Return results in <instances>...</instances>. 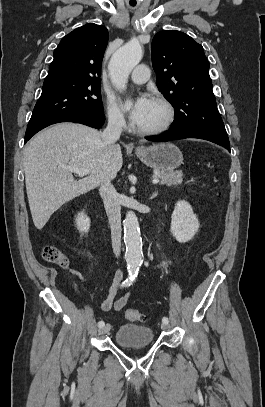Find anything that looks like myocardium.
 Instances as JSON below:
<instances>
[{
    "label": "myocardium",
    "instance_id": "obj_1",
    "mask_svg": "<svg viewBox=\"0 0 265 407\" xmlns=\"http://www.w3.org/2000/svg\"><path fill=\"white\" fill-rule=\"evenodd\" d=\"M153 100L159 103L165 110V118L163 122L158 125L157 127L150 128V129H141L136 127L135 131L142 136H153L159 135L167 131L175 121L176 111L173 104L164 96H154Z\"/></svg>",
    "mask_w": 265,
    "mask_h": 407
}]
</instances>
